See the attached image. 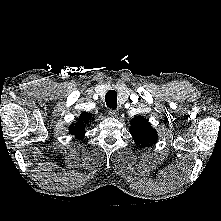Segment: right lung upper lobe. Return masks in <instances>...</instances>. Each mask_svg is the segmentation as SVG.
<instances>
[{
	"label": "right lung upper lobe",
	"instance_id": "obj_1",
	"mask_svg": "<svg viewBox=\"0 0 221 221\" xmlns=\"http://www.w3.org/2000/svg\"><path fill=\"white\" fill-rule=\"evenodd\" d=\"M93 121L90 113L82 112L77 122L70 126L69 131L75 135L79 140L84 137L86 125Z\"/></svg>",
	"mask_w": 221,
	"mask_h": 221
}]
</instances>
